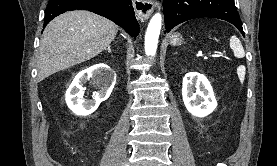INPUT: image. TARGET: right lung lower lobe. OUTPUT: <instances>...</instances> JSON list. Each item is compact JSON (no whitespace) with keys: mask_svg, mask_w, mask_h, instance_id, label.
<instances>
[{"mask_svg":"<svg viewBox=\"0 0 277 166\" xmlns=\"http://www.w3.org/2000/svg\"><path fill=\"white\" fill-rule=\"evenodd\" d=\"M75 9H85L104 16L124 28L132 37H137L139 33L131 0H49L44 27L54 17Z\"/></svg>","mask_w":277,"mask_h":166,"instance_id":"obj_1","label":"right lung lower lobe"}]
</instances>
